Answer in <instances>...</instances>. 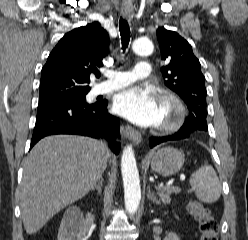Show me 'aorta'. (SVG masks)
Segmentation results:
<instances>
[{"label": "aorta", "instance_id": "aorta-1", "mask_svg": "<svg viewBox=\"0 0 248 240\" xmlns=\"http://www.w3.org/2000/svg\"><path fill=\"white\" fill-rule=\"evenodd\" d=\"M154 46L147 38H139L132 44V50L140 56H148ZM121 172L124 184L125 208L129 214H134L141 200L140 179L136 159L131 145L124 148L121 157Z\"/></svg>", "mask_w": 248, "mask_h": 240}]
</instances>
